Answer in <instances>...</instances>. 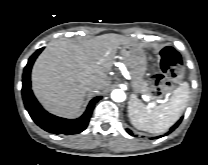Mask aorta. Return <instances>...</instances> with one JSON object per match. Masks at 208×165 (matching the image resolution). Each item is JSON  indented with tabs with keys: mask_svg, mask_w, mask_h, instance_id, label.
<instances>
[{
	"mask_svg": "<svg viewBox=\"0 0 208 165\" xmlns=\"http://www.w3.org/2000/svg\"><path fill=\"white\" fill-rule=\"evenodd\" d=\"M111 98L115 102H123L126 99V94L121 89H115L111 93Z\"/></svg>",
	"mask_w": 208,
	"mask_h": 165,
	"instance_id": "762f6f07",
	"label": "aorta"
}]
</instances>
